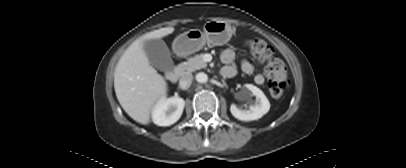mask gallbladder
<instances>
[{"instance_id": "obj_1", "label": "gallbladder", "mask_w": 406, "mask_h": 168, "mask_svg": "<svg viewBox=\"0 0 406 168\" xmlns=\"http://www.w3.org/2000/svg\"><path fill=\"white\" fill-rule=\"evenodd\" d=\"M144 50L150 63L160 71H171L174 63L170 51L162 39H150L144 42Z\"/></svg>"}]
</instances>
